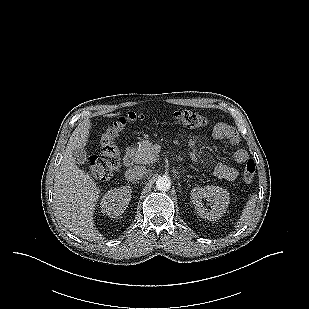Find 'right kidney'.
<instances>
[{
	"instance_id": "1",
	"label": "right kidney",
	"mask_w": 309,
	"mask_h": 309,
	"mask_svg": "<svg viewBox=\"0 0 309 309\" xmlns=\"http://www.w3.org/2000/svg\"><path fill=\"white\" fill-rule=\"evenodd\" d=\"M131 193L130 186H122L107 191L101 200V212L112 218L120 216L128 207Z\"/></svg>"
}]
</instances>
